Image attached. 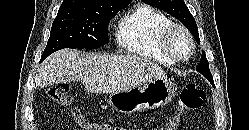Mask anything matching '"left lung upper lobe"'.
Masks as SVG:
<instances>
[{
    "label": "left lung upper lobe",
    "mask_w": 249,
    "mask_h": 130,
    "mask_svg": "<svg viewBox=\"0 0 249 130\" xmlns=\"http://www.w3.org/2000/svg\"><path fill=\"white\" fill-rule=\"evenodd\" d=\"M143 1L177 18L183 25L186 26V28L194 36L197 43L200 44L197 24L183 0H143ZM196 70L199 73H201L214 86L213 77L209 70V63L206 58L205 52H202L200 63L196 66Z\"/></svg>",
    "instance_id": "1"
}]
</instances>
